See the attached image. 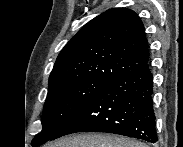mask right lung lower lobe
<instances>
[{"instance_id": "1", "label": "right lung lower lobe", "mask_w": 183, "mask_h": 147, "mask_svg": "<svg viewBox=\"0 0 183 147\" xmlns=\"http://www.w3.org/2000/svg\"><path fill=\"white\" fill-rule=\"evenodd\" d=\"M152 94L150 67L119 77L72 115L53 139L77 132H106L154 143L158 138Z\"/></svg>"}]
</instances>
